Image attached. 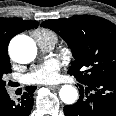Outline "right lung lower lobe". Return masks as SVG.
<instances>
[{"label": "right lung lower lobe", "mask_w": 116, "mask_h": 116, "mask_svg": "<svg viewBox=\"0 0 116 116\" xmlns=\"http://www.w3.org/2000/svg\"><path fill=\"white\" fill-rule=\"evenodd\" d=\"M34 86H28L18 102L6 94L0 97V116H28L32 110Z\"/></svg>", "instance_id": "98d812e1"}]
</instances>
